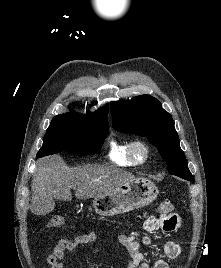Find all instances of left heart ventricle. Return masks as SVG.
Instances as JSON below:
<instances>
[{
  "label": "left heart ventricle",
  "mask_w": 221,
  "mask_h": 268,
  "mask_svg": "<svg viewBox=\"0 0 221 268\" xmlns=\"http://www.w3.org/2000/svg\"><path fill=\"white\" fill-rule=\"evenodd\" d=\"M136 156H137L138 158H142V156H143V151H142L141 149H138V150L136 151Z\"/></svg>",
  "instance_id": "obj_1"
}]
</instances>
